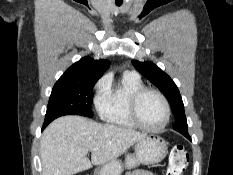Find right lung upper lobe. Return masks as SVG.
Here are the masks:
<instances>
[{"instance_id":"cb5924a9","label":"right lung upper lobe","mask_w":233,"mask_h":175,"mask_svg":"<svg viewBox=\"0 0 233 175\" xmlns=\"http://www.w3.org/2000/svg\"><path fill=\"white\" fill-rule=\"evenodd\" d=\"M109 65L108 60H94L84 57L70 66L57 82L99 79Z\"/></svg>"}]
</instances>
